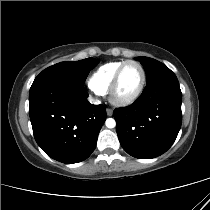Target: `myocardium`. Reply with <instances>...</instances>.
<instances>
[{
  "instance_id": "myocardium-1",
  "label": "myocardium",
  "mask_w": 210,
  "mask_h": 210,
  "mask_svg": "<svg viewBox=\"0 0 210 210\" xmlns=\"http://www.w3.org/2000/svg\"><path fill=\"white\" fill-rule=\"evenodd\" d=\"M128 64H135L139 67L140 72H141V81L138 88L133 94L127 97L120 98L116 95V91L120 82L121 73L123 69L125 68V66ZM145 84H146V72L143 65L136 60H126L118 67L110 83V86L108 89L109 100L113 105H116V106L130 105L134 101H136L139 98V96L142 94Z\"/></svg>"
}]
</instances>
